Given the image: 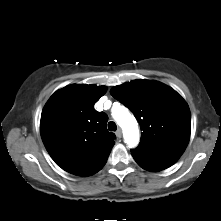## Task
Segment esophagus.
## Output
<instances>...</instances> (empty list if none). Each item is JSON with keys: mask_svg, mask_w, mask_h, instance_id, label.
Returning a JSON list of instances; mask_svg holds the SVG:
<instances>
[{"mask_svg": "<svg viewBox=\"0 0 221 221\" xmlns=\"http://www.w3.org/2000/svg\"><path fill=\"white\" fill-rule=\"evenodd\" d=\"M116 137L119 139L122 137V131L120 128L116 131Z\"/></svg>", "mask_w": 221, "mask_h": 221, "instance_id": "1", "label": "esophagus"}]
</instances>
